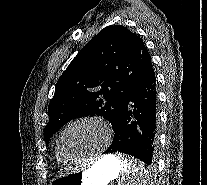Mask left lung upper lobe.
Here are the masks:
<instances>
[{"label": "left lung upper lobe", "mask_w": 207, "mask_h": 185, "mask_svg": "<svg viewBox=\"0 0 207 185\" xmlns=\"http://www.w3.org/2000/svg\"><path fill=\"white\" fill-rule=\"evenodd\" d=\"M151 69L150 55L139 36L121 25L102 29L57 81L48 106L46 144L74 118L100 115L114 127L124 99Z\"/></svg>", "instance_id": "left-lung-upper-lobe-1"}]
</instances>
